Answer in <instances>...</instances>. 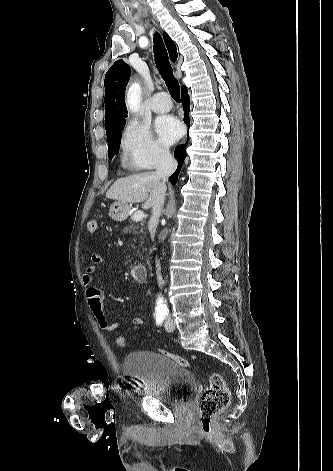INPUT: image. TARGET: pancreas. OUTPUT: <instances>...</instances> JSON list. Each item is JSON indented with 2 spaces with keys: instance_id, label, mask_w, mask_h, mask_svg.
<instances>
[{
  "instance_id": "1",
  "label": "pancreas",
  "mask_w": 333,
  "mask_h": 471,
  "mask_svg": "<svg viewBox=\"0 0 333 471\" xmlns=\"http://www.w3.org/2000/svg\"><path fill=\"white\" fill-rule=\"evenodd\" d=\"M131 219L133 220V217ZM130 223H131L130 226H127V227L124 228V230H123L124 234L133 232V234L138 235L140 233H143L142 224H141V226H139V225L133 224L132 221ZM133 241L136 242L135 239Z\"/></svg>"
}]
</instances>
